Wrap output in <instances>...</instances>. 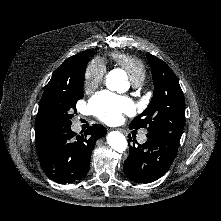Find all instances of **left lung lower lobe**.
<instances>
[{
	"instance_id": "0a47b994",
	"label": "left lung lower lobe",
	"mask_w": 221,
	"mask_h": 221,
	"mask_svg": "<svg viewBox=\"0 0 221 221\" xmlns=\"http://www.w3.org/2000/svg\"><path fill=\"white\" fill-rule=\"evenodd\" d=\"M181 135L180 132L158 130L149 132L144 144L129 145V156L123 167L125 175L139 183L162 177L175 159Z\"/></svg>"
}]
</instances>
